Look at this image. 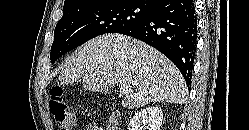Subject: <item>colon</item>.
Segmentation results:
<instances>
[{"mask_svg":"<svg viewBox=\"0 0 249 130\" xmlns=\"http://www.w3.org/2000/svg\"><path fill=\"white\" fill-rule=\"evenodd\" d=\"M50 112L59 130H73L76 127V118L70 106L63 99L60 87H54L50 92Z\"/></svg>","mask_w":249,"mask_h":130,"instance_id":"obj_1","label":"colon"}]
</instances>
